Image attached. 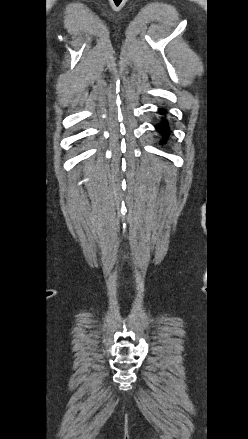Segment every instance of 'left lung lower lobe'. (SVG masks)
I'll return each mask as SVG.
<instances>
[{
    "instance_id": "1",
    "label": "left lung lower lobe",
    "mask_w": 248,
    "mask_h": 439,
    "mask_svg": "<svg viewBox=\"0 0 248 439\" xmlns=\"http://www.w3.org/2000/svg\"><path fill=\"white\" fill-rule=\"evenodd\" d=\"M160 114L165 115L166 111L164 109H160ZM156 130L163 135V141L165 142L169 135V127L167 120H163L160 124L155 125Z\"/></svg>"
}]
</instances>
